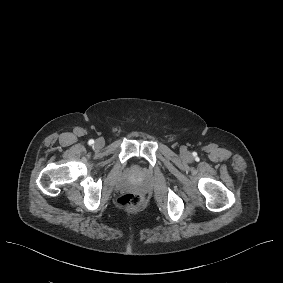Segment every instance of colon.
<instances>
[{
    "label": "colon",
    "mask_w": 283,
    "mask_h": 283,
    "mask_svg": "<svg viewBox=\"0 0 283 283\" xmlns=\"http://www.w3.org/2000/svg\"><path fill=\"white\" fill-rule=\"evenodd\" d=\"M118 203L125 208L134 209L141 205L142 197L135 193L125 194L118 199Z\"/></svg>",
    "instance_id": "1"
}]
</instances>
